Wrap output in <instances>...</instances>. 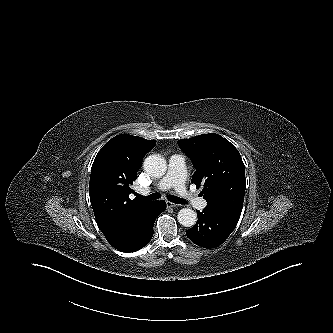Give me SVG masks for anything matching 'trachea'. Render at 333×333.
Instances as JSON below:
<instances>
[{"label":"trachea","mask_w":333,"mask_h":333,"mask_svg":"<svg viewBox=\"0 0 333 333\" xmlns=\"http://www.w3.org/2000/svg\"><path fill=\"white\" fill-rule=\"evenodd\" d=\"M138 198L140 199H143V200H157L159 198H161V194L159 193H153L151 195H148V196H142V195H138ZM167 199L170 201V202H173V203H176V204H186V200L182 199V198H179L177 196H172V195H168L167 196Z\"/></svg>","instance_id":"trachea-1"}]
</instances>
